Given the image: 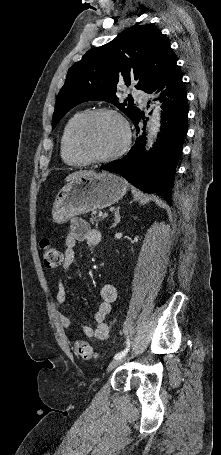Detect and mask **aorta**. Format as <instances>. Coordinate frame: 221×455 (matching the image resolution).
Wrapping results in <instances>:
<instances>
[{
    "label": "aorta",
    "instance_id": "obj_1",
    "mask_svg": "<svg viewBox=\"0 0 221 455\" xmlns=\"http://www.w3.org/2000/svg\"><path fill=\"white\" fill-rule=\"evenodd\" d=\"M161 109L159 106L153 111L152 117L148 123V132H147V149L151 148L153 145L154 140L156 139L159 131H160V117H161Z\"/></svg>",
    "mask_w": 221,
    "mask_h": 455
}]
</instances>
